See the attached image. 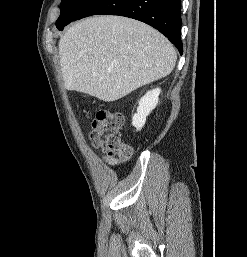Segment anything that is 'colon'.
I'll return each mask as SVG.
<instances>
[{
	"label": "colon",
	"instance_id": "5ec220e1",
	"mask_svg": "<svg viewBox=\"0 0 247 257\" xmlns=\"http://www.w3.org/2000/svg\"><path fill=\"white\" fill-rule=\"evenodd\" d=\"M124 118L119 112L99 109L92 120L90 140L95 148L101 149L107 156L122 159L130 158L132 149L124 144L119 136Z\"/></svg>",
	"mask_w": 247,
	"mask_h": 257
}]
</instances>
